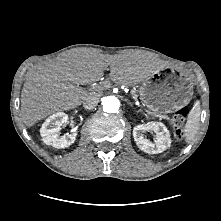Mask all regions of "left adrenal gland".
I'll return each instance as SVG.
<instances>
[{
	"label": "left adrenal gland",
	"mask_w": 221,
	"mask_h": 221,
	"mask_svg": "<svg viewBox=\"0 0 221 221\" xmlns=\"http://www.w3.org/2000/svg\"><path fill=\"white\" fill-rule=\"evenodd\" d=\"M128 103H129L130 105H132V103H131L130 101H128Z\"/></svg>",
	"instance_id": "1"
}]
</instances>
